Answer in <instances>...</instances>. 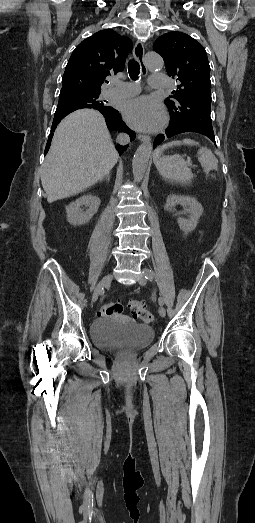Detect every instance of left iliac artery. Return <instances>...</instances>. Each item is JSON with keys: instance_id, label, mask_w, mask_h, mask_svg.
I'll list each match as a JSON object with an SVG mask.
<instances>
[{"instance_id": "obj_1", "label": "left iliac artery", "mask_w": 255, "mask_h": 523, "mask_svg": "<svg viewBox=\"0 0 255 523\" xmlns=\"http://www.w3.org/2000/svg\"><path fill=\"white\" fill-rule=\"evenodd\" d=\"M144 274H145V278H146L147 280L152 281V279H153V277H154V273H153L151 270H149V269H145V270H144ZM158 302H159L160 305H163V304H164V300H163V298H162V297H159Z\"/></svg>"}]
</instances>
